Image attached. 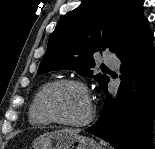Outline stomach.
<instances>
[{"label":"stomach","instance_id":"obj_1","mask_svg":"<svg viewBox=\"0 0 155 149\" xmlns=\"http://www.w3.org/2000/svg\"><path fill=\"white\" fill-rule=\"evenodd\" d=\"M34 149H103L94 139L75 133L54 131L34 140Z\"/></svg>","mask_w":155,"mask_h":149}]
</instances>
